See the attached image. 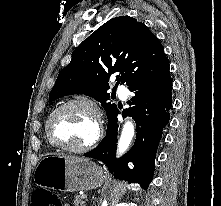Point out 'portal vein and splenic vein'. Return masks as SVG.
I'll return each instance as SVG.
<instances>
[{
    "instance_id": "obj_1",
    "label": "portal vein and splenic vein",
    "mask_w": 221,
    "mask_h": 206,
    "mask_svg": "<svg viewBox=\"0 0 221 206\" xmlns=\"http://www.w3.org/2000/svg\"><path fill=\"white\" fill-rule=\"evenodd\" d=\"M83 197H84V199H86V196H85V195H84Z\"/></svg>"
}]
</instances>
